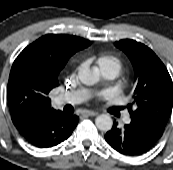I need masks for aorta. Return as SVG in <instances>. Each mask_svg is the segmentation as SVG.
Listing matches in <instances>:
<instances>
[{
    "mask_svg": "<svg viewBox=\"0 0 173 170\" xmlns=\"http://www.w3.org/2000/svg\"><path fill=\"white\" fill-rule=\"evenodd\" d=\"M78 77L83 84L88 86L94 85L99 80L98 74L89 68H81L78 72ZM95 125L99 130L107 132L112 128L113 120L109 115L101 114L96 117Z\"/></svg>",
    "mask_w": 173,
    "mask_h": 170,
    "instance_id": "762f6f07",
    "label": "aorta"
}]
</instances>
